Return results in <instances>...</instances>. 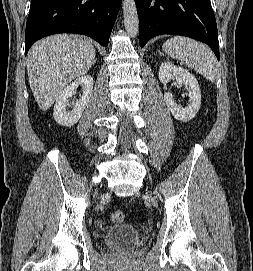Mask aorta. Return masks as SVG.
<instances>
[{
	"label": "aorta",
	"mask_w": 253,
	"mask_h": 271,
	"mask_svg": "<svg viewBox=\"0 0 253 271\" xmlns=\"http://www.w3.org/2000/svg\"><path fill=\"white\" fill-rule=\"evenodd\" d=\"M122 9L126 32L130 37L135 38L139 30V19L135 0H123Z\"/></svg>",
	"instance_id": "762f6f07"
}]
</instances>
